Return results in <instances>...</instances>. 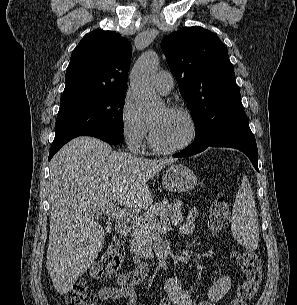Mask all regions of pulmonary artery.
Masks as SVG:
<instances>
[{"label":"pulmonary artery","mask_w":297,"mask_h":305,"mask_svg":"<svg viewBox=\"0 0 297 305\" xmlns=\"http://www.w3.org/2000/svg\"><path fill=\"white\" fill-rule=\"evenodd\" d=\"M154 85L161 94L166 95L173 89V76L169 72L161 70L154 78Z\"/></svg>","instance_id":"obj_1"}]
</instances>
